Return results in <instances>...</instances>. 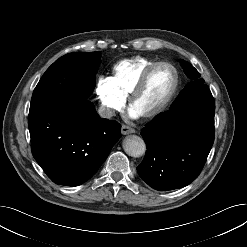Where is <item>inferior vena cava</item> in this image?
Masks as SVG:
<instances>
[{
	"label": "inferior vena cava",
	"instance_id": "obj_1",
	"mask_svg": "<svg viewBox=\"0 0 247 247\" xmlns=\"http://www.w3.org/2000/svg\"><path fill=\"white\" fill-rule=\"evenodd\" d=\"M98 114L100 115V117L102 118H111L112 116H114L115 112L114 110L110 109V108H106L104 106H101L98 109Z\"/></svg>",
	"mask_w": 247,
	"mask_h": 247
}]
</instances>
